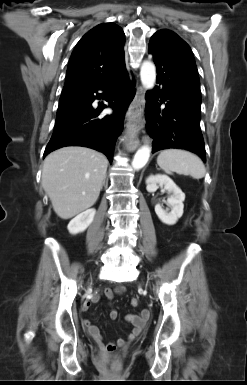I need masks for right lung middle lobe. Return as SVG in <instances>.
Segmentation results:
<instances>
[{"label":"right lung middle lobe","instance_id":"dd1d6c3e","mask_svg":"<svg viewBox=\"0 0 247 385\" xmlns=\"http://www.w3.org/2000/svg\"><path fill=\"white\" fill-rule=\"evenodd\" d=\"M87 91H65L59 99V107L83 96Z\"/></svg>","mask_w":247,"mask_h":385}]
</instances>
